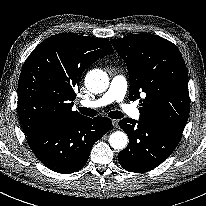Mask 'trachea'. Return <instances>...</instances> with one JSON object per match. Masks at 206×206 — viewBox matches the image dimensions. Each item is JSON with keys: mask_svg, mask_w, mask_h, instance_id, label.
<instances>
[{"mask_svg": "<svg viewBox=\"0 0 206 206\" xmlns=\"http://www.w3.org/2000/svg\"><path fill=\"white\" fill-rule=\"evenodd\" d=\"M78 110L85 116L94 117L97 114V111L94 109L79 107ZM108 116L112 119H121L124 114L120 111H111Z\"/></svg>", "mask_w": 206, "mask_h": 206, "instance_id": "3493384b", "label": "trachea"}]
</instances>
